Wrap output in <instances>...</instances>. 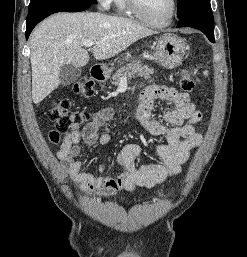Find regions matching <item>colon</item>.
I'll list each match as a JSON object with an SVG mask.
<instances>
[{
	"mask_svg": "<svg viewBox=\"0 0 247 257\" xmlns=\"http://www.w3.org/2000/svg\"><path fill=\"white\" fill-rule=\"evenodd\" d=\"M179 85L180 89L186 93L193 91L195 84L189 69L182 71ZM73 88L76 94L84 98H90L94 95V84L89 79L77 81ZM50 118L55 122L57 129L49 133V139L51 143L57 144L60 137L59 131H79L90 119V113L72 110L70 100L64 98L54 102L50 111Z\"/></svg>",
	"mask_w": 247,
	"mask_h": 257,
	"instance_id": "obj_1",
	"label": "colon"
}]
</instances>
